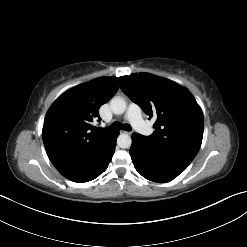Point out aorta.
Listing matches in <instances>:
<instances>
[{"mask_svg":"<svg viewBox=\"0 0 247 247\" xmlns=\"http://www.w3.org/2000/svg\"><path fill=\"white\" fill-rule=\"evenodd\" d=\"M110 108L114 114L121 115L126 110V102L122 97H113L110 101ZM132 144V139L128 134H120L117 138V145L120 148L126 149L130 148Z\"/></svg>","mask_w":247,"mask_h":247,"instance_id":"obj_1","label":"aorta"}]
</instances>
